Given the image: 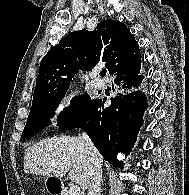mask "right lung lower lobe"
Masks as SVG:
<instances>
[{
  "label": "right lung lower lobe",
  "instance_id": "98d812e1",
  "mask_svg": "<svg viewBox=\"0 0 189 195\" xmlns=\"http://www.w3.org/2000/svg\"><path fill=\"white\" fill-rule=\"evenodd\" d=\"M140 68L121 76L114 75L120 93L111 98L110 106H104L105 100H90L58 128L60 131L82 128L102 156L120 169H123V163L118 161L117 154L130 152L147 109L146 96L140 91L144 79Z\"/></svg>",
  "mask_w": 189,
  "mask_h": 195
}]
</instances>
